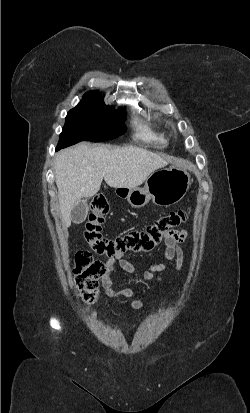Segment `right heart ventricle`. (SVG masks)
<instances>
[{
  "mask_svg": "<svg viewBox=\"0 0 250 413\" xmlns=\"http://www.w3.org/2000/svg\"><path fill=\"white\" fill-rule=\"evenodd\" d=\"M135 135L137 138L157 145L167 143V135L161 129V122L155 119H141L135 124Z\"/></svg>",
  "mask_w": 250,
  "mask_h": 413,
  "instance_id": "1",
  "label": "right heart ventricle"
}]
</instances>
